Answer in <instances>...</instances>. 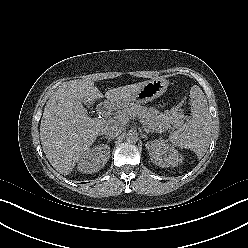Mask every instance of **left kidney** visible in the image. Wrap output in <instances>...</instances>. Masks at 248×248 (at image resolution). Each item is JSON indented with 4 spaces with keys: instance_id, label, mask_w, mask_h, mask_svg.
<instances>
[{
    "instance_id": "left-kidney-1",
    "label": "left kidney",
    "mask_w": 248,
    "mask_h": 248,
    "mask_svg": "<svg viewBox=\"0 0 248 248\" xmlns=\"http://www.w3.org/2000/svg\"><path fill=\"white\" fill-rule=\"evenodd\" d=\"M151 161L162 168L175 167L183 160L182 155L163 140H153L146 144Z\"/></svg>"
}]
</instances>
